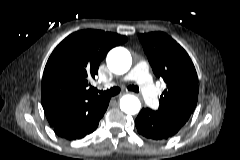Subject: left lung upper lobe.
<instances>
[{
	"label": "left lung upper lobe",
	"instance_id": "obj_1",
	"mask_svg": "<svg viewBox=\"0 0 240 160\" xmlns=\"http://www.w3.org/2000/svg\"><path fill=\"white\" fill-rule=\"evenodd\" d=\"M139 39L154 74L167 88L162 93L158 112L183 126L193 113L198 100V77L187 52L163 32L140 34Z\"/></svg>",
	"mask_w": 240,
	"mask_h": 160
}]
</instances>
